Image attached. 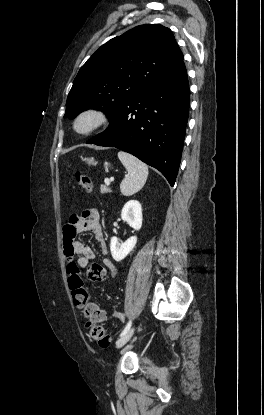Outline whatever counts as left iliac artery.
<instances>
[{"label":"left iliac artery","mask_w":264,"mask_h":415,"mask_svg":"<svg viewBox=\"0 0 264 415\" xmlns=\"http://www.w3.org/2000/svg\"><path fill=\"white\" fill-rule=\"evenodd\" d=\"M131 324H132V322H131V320L127 323V325H126V327L124 328V330L122 331V333H121V335L120 336H122V335H124L129 329H130V327H131Z\"/></svg>","instance_id":"obj_1"}]
</instances>
